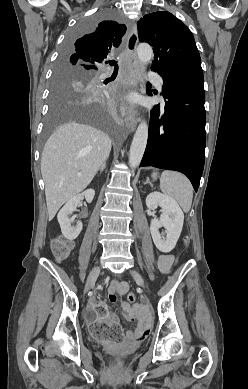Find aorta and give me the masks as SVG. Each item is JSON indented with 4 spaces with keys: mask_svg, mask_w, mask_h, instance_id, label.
Here are the masks:
<instances>
[{
    "mask_svg": "<svg viewBox=\"0 0 248 389\" xmlns=\"http://www.w3.org/2000/svg\"><path fill=\"white\" fill-rule=\"evenodd\" d=\"M137 55L141 63L147 64L153 56V50L150 45L142 43L137 47ZM148 139V125L146 122H141L137 127L134 134L130 153H129V165L132 168L137 167L143 157Z\"/></svg>",
    "mask_w": 248,
    "mask_h": 389,
    "instance_id": "aorta-1",
    "label": "aorta"
}]
</instances>
